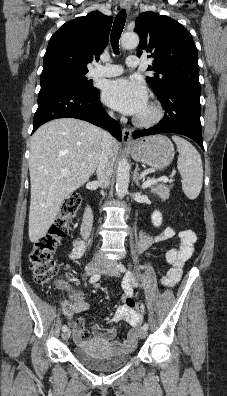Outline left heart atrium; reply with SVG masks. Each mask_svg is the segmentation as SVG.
Listing matches in <instances>:
<instances>
[{
	"label": "left heart atrium",
	"instance_id": "39dd6f15",
	"mask_svg": "<svg viewBox=\"0 0 227 396\" xmlns=\"http://www.w3.org/2000/svg\"><path fill=\"white\" fill-rule=\"evenodd\" d=\"M102 99L108 106L138 116L147 106L146 87L137 79L119 78L106 83Z\"/></svg>",
	"mask_w": 227,
	"mask_h": 396
}]
</instances>
